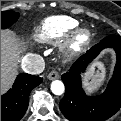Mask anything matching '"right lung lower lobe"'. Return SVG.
I'll use <instances>...</instances> for the list:
<instances>
[{
    "label": "right lung lower lobe",
    "instance_id": "right-lung-lower-lobe-1",
    "mask_svg": "<svg viewBox=\"0 0 121 121\" xmlns=\"http://www.w3.org/2000/svg\"><path fill=\"white\" fill-rule=\"evenodd\" d=\"M42 81L39 76L18 75L12 88L1 96V121H19L27 110L31 90Z\"/></svg>",
    "mask_w": 121,
    "mask_h": 121
}]
</instances>
